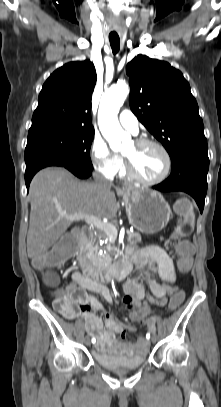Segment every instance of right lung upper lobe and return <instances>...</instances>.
I'll list each match as a JSON object with an SVG mask.
<instances>
[{
	"label": "right lung upper lobe",
	"mask_w": 221,
	"mask_h": 407,
	"mask_svg": "<svg viewBox=\"0 0 221 407\" xmlns=\"http://www.w3.org/2000/svg\"><path fill=\"white\" fill-rule=\"evenodd\" d=\"M97 76L92 62H70L44 83L33 113L32 126H66L94 130L91 124V99Z\"/></svg>",
	"instance_id": "1"
}]
</instances>
